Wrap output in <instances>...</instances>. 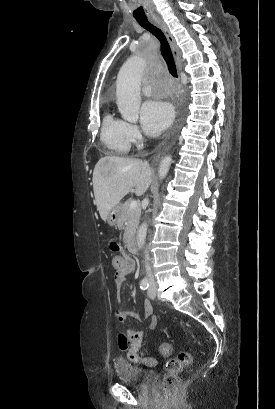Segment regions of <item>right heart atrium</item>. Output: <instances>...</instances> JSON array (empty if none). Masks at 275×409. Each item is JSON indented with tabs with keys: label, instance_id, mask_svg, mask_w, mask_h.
<instances>
[{
	"label": "right heart atrium",
	"instance_id": "1",
	"mask_svg": "<svg viewBox=\"0 0 275 409\" xmlns=\"http://www.w3.org/2000/svg\"><path fill=\"white\" fill-rule=\"evenodd\" d=\"M128 134L132 143H138L142 139V133L139 126L132 123H127Z\"/></svg>",
	"mask_w": 275,
	"mask_h": 409
}]
</instances>
